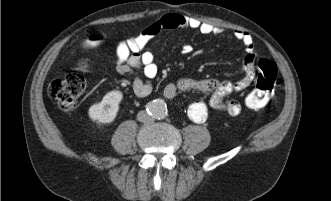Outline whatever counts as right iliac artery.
Wrapping results in <instances>:
<instances>
[{"instance_id":"right-iliac-artery-1","label":"right iliac artery","mask_w":331,"mask_h":201,"mask_svg":"<svg viewBox=\"0 0 331 201\" xmlns=\"http://www.w3.org/2000/svg\"><path fill=\"white\" fill-rule=\"evenodd\" d=\"M151 110V106H147V111L149 112Z\"/></svg>"}]
</instances>
